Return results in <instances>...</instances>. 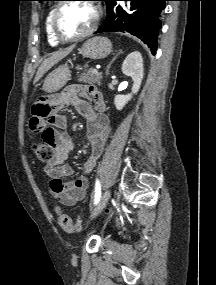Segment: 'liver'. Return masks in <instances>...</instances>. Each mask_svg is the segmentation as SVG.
<instances>
[{
	"instance_id": "liver-1",
	"label": "liver",
	"mask_w": 216,
	"mask_h": 285,
	"mask_svg": "<svg viewBox=\"0 0 216 285\" xmlns=\"http://www.w3.org/2000/svg\"><path fill=\"white\" fill-rule=\"evenodd\" d=\"M74 47L75 46H70L65 50L57 51L53 53L49 58L45 59L38 68L34 79V84L37 83L51 67L66 57L74 49Z\"/></svg>"
}]
</instances>
